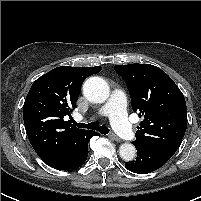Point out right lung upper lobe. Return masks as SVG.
Listing matches in <instances>:
<instances>
[{
	"label": "right lung upper lobe",
	"mask_w": 201,
	"mask_h": 201,
	"mask_svg": "<svg viewBox=\"0 0 201 201\" xmlns=\"http://www.w3.org/2000/svg\"><path fill=\"white\" fill-rule=\"evenodd\" d=\"M101 70L100 66H60L32 84L24 102L23 119L32 147L47 165L70 160L91 132L66 120L76 108L83 81Z\"/></svg>",
	"instance_id": "1"
}]
</instances>
